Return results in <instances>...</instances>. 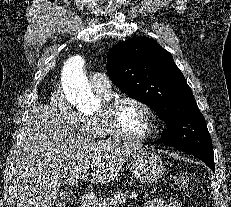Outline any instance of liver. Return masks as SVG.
Segmentation results:
<instances>
[{
	"label": "liver",
	"mask_w": 231,
	"mask_h": 207,
	"mask_svg": "<svg viewBox=\"0 0 231 207\" xmlns=\"http://www.w3.org/2000/svg\"><path fill=\"white\" fill-rule=\"evenodd\" d=\"M141 146L83 138L64 124L54 107L35 106L22 133L16 158L17 207H52L61 185H106Z\"/></svg>",
	"instance_id": "liver-1"
}]
</instances>
